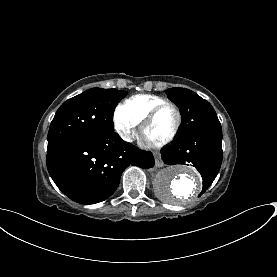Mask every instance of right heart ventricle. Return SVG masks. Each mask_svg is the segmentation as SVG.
Returning <instances> with one entry per match:
<instances>
[{"label": "right heart ventricle", "mask_w": 277, "mask_h": 277, "mask_svg": "<svg viewBox=\"0 0 277 277\" xmlns=\"http://www.w3.org/2000/svg\"><path fill=\"white\" fill-rule=\"evenodd\" d=\"M167 101V99L154 95H134L121 105L118 112L132 117L137 123H141L155 106Z\"/></svg>", "instance_id": "e07e8e85"}]
</instances>
